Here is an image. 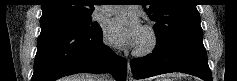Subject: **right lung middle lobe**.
<instances>
[{
    "label": "right lung middle lobe",
    "mask_w": 237,
    "mask_h": 81,
    "mask_svg": "<svg viewBox=\"0 0 237 81\" xmlns=\"http://www.w3.org/2000/svg\"><path fill=\"white\" fill-rule=\"evenodd\" d=\"M41 28L61 27L69 28L84 33H96L100 30L99 26L91 24V16H73V17H56L40 20Z\"/></svg>",
    "instance_id": "right-lung-middle-lobe-1"
}]
</instances>
